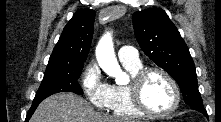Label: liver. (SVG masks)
Returning a JSON list of instances; mask_svg holds the SVG:
<instances>
[{"label": "liver", "mask_w": 221, "mask_h": 122, "mask_svg": "<svg viewBox=\"0 0 221 122\" xmlns=\"http://www.w3.org/2000/svg\"><path fill=\"white\" fill-rule=\"evenodd\" d=\"M30 122H135L132 119L109 117L93 110L81 96L59 93L42 101Z\"/></svg>", "instance_id": "6515ba94"}]
</instances>
